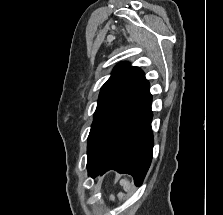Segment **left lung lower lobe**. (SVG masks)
<instances>
[{"label":"left lung lower lobe","instance_id":"obj_1","mask_svg":"<svg viewBox=\"0 0 223 215\" xmlns=\"http://www.w3.org/2000/svg\"><path fill=\"white\" fill-rule=\"evenodd\" d=\"M151 102L152 96L148 91L114 126L87 163L89 176L94 178L116 170L132 175L137 186L142 184L153 152Z\"/></svg>","mask_w":223,"mask_h":215}]
</instances>
